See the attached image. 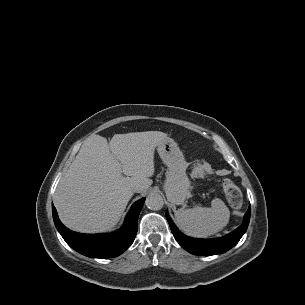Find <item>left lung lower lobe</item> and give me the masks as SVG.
<instances>
[{
	"instance_id": "obj_1",
	"label": "left lung lower lobe",
	"mask_w": 305,
	"mask_h": 305,
	"mask_svg": "<svg viewBox=\"0 0 305 305\" xmlns=\"http://www.w3.org/2000/svg\"><path fill=\"white\" fill-rule=\"evenodd\" d=\"M166 218L170 225L171 231L177 242L188 252L200 255V256H210L215 254H221L233 246H235L243 234L246 232L249 220H250V207L245 214L244 222L235 231L228 234L227 236L216 238V239H194L190 238L183 233H181L173 221L171 220L168 212L166 211Z\"/></svg>"
}]
</instances>
